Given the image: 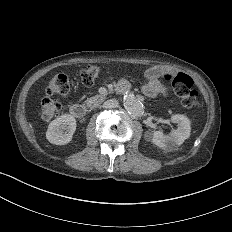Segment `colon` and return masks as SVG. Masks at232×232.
Returning a JSON list of instances; mask_svg holds the SVG:
<instances>
[{"instance_id":"obj_1","label":"colon","mask_w":232,"mask_h":232,"mask_svg":"<svg viewBox=\"0 0 232 232\" xmlns=\"http://www.w3.org/2000/svg\"><path fill=\"white\" fill-rule=\"evenodd\" d=\"M101 71V67L92 64L79 68L78 72L82 73L83 76L81 79L82 86L85 88L92 87L94 84L92 76H97V72ZM52 79H55V81H45L48 94L55 98H61L65 92L70 91V85L68 84L70 78L66 74H52ZM164 79L169 85L175 86L177 95L183 97L182 103L184 107H197V102H195L196 94H189L193 86L191 77L179 70L169 69L165 72ZM35 103H38V107H44L43 112L48 114V117H62V112H58L57 109L60 105L59 100L49 102V98H35ZM42 121H47V116H42Z\"/></svg>"}]
</instances>
